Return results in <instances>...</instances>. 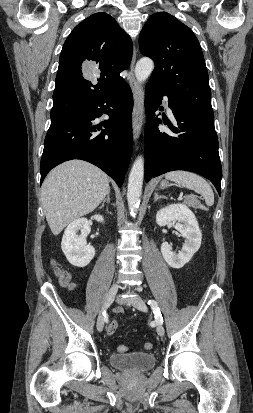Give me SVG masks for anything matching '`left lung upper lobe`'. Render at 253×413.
I'll list each match as a JSON object with an SVG mask.
<instances>
[{"mask_svg": "<svg viewBox=\"0 0 253 413\" xmlns=\"http://www.w3.org/2000/svg\"><path fill=\"white\" fill-rule=\"evenodd\" d=\"M139 48L155 62L149 81L171 101L214 117L204 56L189 27L166 12L155 13L140 33Z\"/></svg>", "mask_w": 253, "mask_h": 413, "instance_id": "5c2ea615", "label": "left lung upper lobe"}]
</instances>
